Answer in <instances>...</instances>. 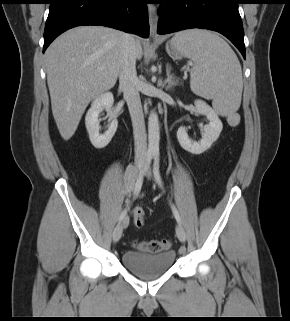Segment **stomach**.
<instances>
[{
	"label": "stomach",
	"instance_id": "stomach-1",
	"mask_svg": "<svg viewBox=\"0 0 290 321\" xmlns=\"http://www.w3.org/2000/svg\"><path fill=\"white\" fill-rule=\"evenodd\" d=\"M166 51L168 55L175 60H180L186 56L184 51L179 48L172 40L166 43Z\"/></svg>",
	"mask_w": 290,
	"mask_h": 321
}]
</instances>
